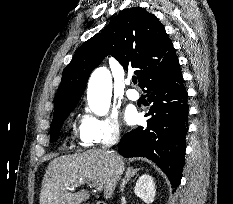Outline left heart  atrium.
Masks as SVG:
<instances>
[{"label": "left heart atrium", "instance_id": "39dd6f15", "mask_svg": "<svg viewBox=\"0 0 233 204\" xmlns=\"http://www.w3.org/2000/svg\"><path fill=\"white\" fill-rule=\"evenodd\" d=\"M124 117L128 124H133L137 121V113L134 109L131 108L125 111Z\"/></svg>", "mask_w": 233, "mask_h": 204}]
</instances>
